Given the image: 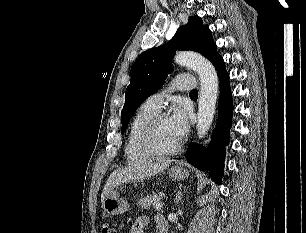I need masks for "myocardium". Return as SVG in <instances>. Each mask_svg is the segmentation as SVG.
Masks as SVG:
<instances>
[{"mask_svg": "<svg viewBox=\"0 0 306 233\" xmlns=\"http://www.w3.org/2000/svg\"><path fill=\"white\" fill-rule=\"evenodd\" d=\"M165 117L163 114H156L144 126L139 138V145L143 152L151 156H171L181 149V142L169 150L161 149L155 141V133L160 120Z\"/></svg>", "mask_w": 306, "mask_h": 233, "instance_id": "f54148a6", "label": "myocardium"}]
</instances>
